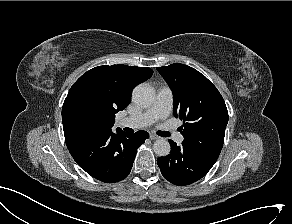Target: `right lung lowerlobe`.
<instances>
[{"label":"right lung lower lobe","instance_id":"1","mask_svg":"<svg viewBox=\"0 0 292 224\" xmlns=\"http://www.w3.org/2000/svg\"><path fill=\"white\" fill-rule=\"evenodd\" d=\"M67 148L92 177L106 183H115L128 176L138 147L149 137L146 131L134 134L117 130L95 133L65 132Z\"/></svg>","mask_w":292,"mask_h":224}]
</instances>
